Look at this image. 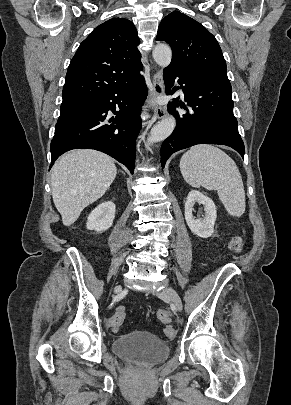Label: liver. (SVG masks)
Masks as SVG:
<instances>
[{
	"label": "liver",
	"instance_id": "obj_1",
	"mask_svg": "<svg viewBox=\"0 0 291 405\" xmlns=\"http://www.w3.org/2000/svg\"><path fill=\"white\" fill-rule=\"evenodd\" d=\"M113 159L96 150H73L62 155L51 173L52 197L65 226L85 207L101 198L115 179Z\"/></svg>",
	"mask_w": 291,
	"mask_h": 405
}]
</instances>
